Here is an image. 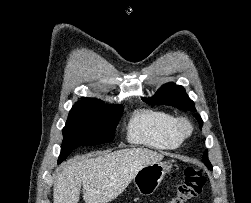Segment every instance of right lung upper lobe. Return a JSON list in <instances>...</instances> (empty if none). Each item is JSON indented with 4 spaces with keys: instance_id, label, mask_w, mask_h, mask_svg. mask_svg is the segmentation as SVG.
<instances>
[{
    "instance_id": "1",
    "label": "right lung upper lobe",
    "mask_w": 251,
    "mask_h": 203,
    "mask_svg": "<svg viewBox=\"0 0 251 203\" xmlns=\"http://www.w3.org/2000/svg\"><path fill=\"white\" fill-rule=\"evenodd\" d=\"M92 104H103L101 100L94 98L83 97L81 101H78L75 105H92Z\"/></svg>"
}]
</instances>
